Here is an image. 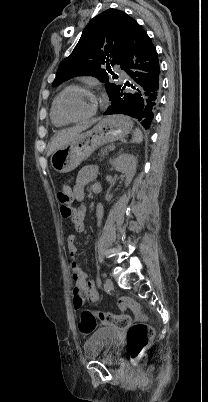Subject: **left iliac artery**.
Masks as SVG:
<instances>
[{
    "label": "left iliac artery",
    "instance_id": "44dca946",
    "mask_svg": "<svg viewBox=\"0 0 208 402\" xmlns=\"http://www.w3.org/2000/svg\"><path fill=\"white\" fill-rule=\"evenodd\" d=\"M97 285H98V287H101V279L100 278H97Z\"/></svg>",
    "mask_w": 208,
    "mask_h": 402
}]
</instances>
